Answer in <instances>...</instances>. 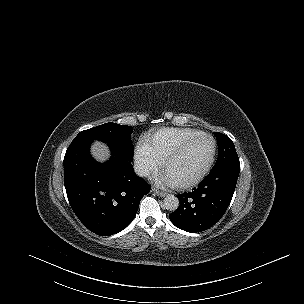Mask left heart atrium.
Here are the masks:
<instances>
[{
  "label": "left heart atrium",
  "instance_id": "obj_1",
  "mask_svg": "<svg viewBox=\"0 0 304 304\" xmlns=\"http://www.w3.org/2000/svg\"><path fill=\"white\" fill-rule=\"evenodd\" d=\"M155 181L162 185L174 186L176 182L167 173L157 177Z\"/></svg>",
  "mask_w": 304,
  "mask_h": 304
}]
</instances>
